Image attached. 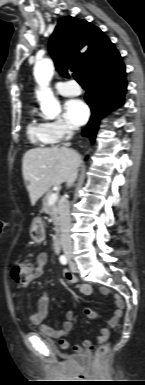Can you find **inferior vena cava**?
I'll return each mask as SVG.
<instances>
[{
  "instance_id": "obj_1",
  "label": "inferior vena cava",
  "mask_w": 145,
  "mask_h": 385,
  "mask_svg": "<svg viewBox=\"0 0 145 385\" xmlns=\"http://www.w3.org/2000/svg\"><path fill=\"white\" fill-rule=\"evenodd\" d=\"M76 128L74 126H69L68 135L66 140H70L74 134V130ZM78 175V170H74L72 174L67 179V187H71L75 182ZM59 220H60V238L63 252L66 256H70L72 254V240L70 236V228H71V219H70V207L69 202L66 196L61 197L59 201Z\"/></svg>"
}]
</instances>
